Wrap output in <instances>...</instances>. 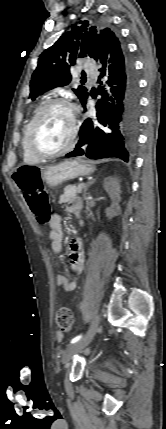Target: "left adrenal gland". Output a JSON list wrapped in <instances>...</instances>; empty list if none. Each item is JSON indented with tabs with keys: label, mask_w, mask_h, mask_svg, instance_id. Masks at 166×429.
I'll list each match as a JSON object with an SVG mask.
<instances>
[{
	"label": "left adrenal gland",
	"mask_w": 166,
	"mask_h": 429,
	"mask_svg": "<svg viewBox=\"0 0 166 429\" xmlns=\"http://www.w3.org/2000/svg\"><path fill=\"white\" fill-rule=\"evenodd\" d=\"M94 182H95V179H92V180L88 181V182H87V185L84 187L83 197H84V199H85V200H86V191H87L88 187H89L91 184H93Z\"/></svg>",
	"instance_id": "a2214340"
}]
</instances>
